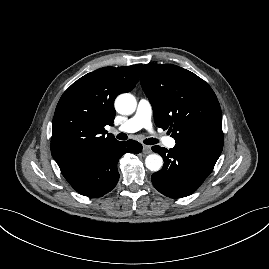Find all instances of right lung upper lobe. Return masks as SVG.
<instances>
[{
  "label": "right lung upper lobe",
  "mask_w": 269,
  "mask_h": 269,
  "mask_svg": "<svg viewBox=\"0 0 269 269\" xmlns=\"http://www.w3.org/2000/svg\"><path fill=\"white\" fill-rule=\"evenodd\" d=\"M141 66L100 68L63 93L55 110L51 138V154L60 169L117 141L104 127L113 125L114 100L135 87Z\"/></svg>",
  "instance_id": "cb5924a9"
}]
</instances>
